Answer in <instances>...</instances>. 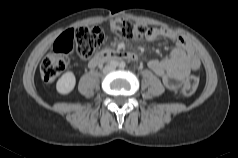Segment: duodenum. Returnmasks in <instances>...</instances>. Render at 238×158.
<instances>
[{
    "instance_id": "410a0bca",
    "label": "duodenum",
    "mask_w": 238,
    "mask_h": 158,
    "mask_svg": "<svg viewBox=\"0 0 238 158\" xmlns=\"http://www.w3.org/2000/svg\"><path fill=\"white\" fill-rule=\"evenodd\" d=\"M137 56L131 52L104 50L98 52L89 62L90 67H96L99 64L117 60H136Z\"/></svg>"
}]
</instances>
